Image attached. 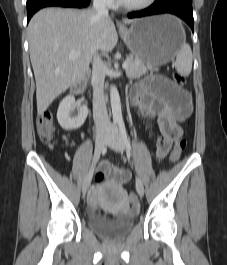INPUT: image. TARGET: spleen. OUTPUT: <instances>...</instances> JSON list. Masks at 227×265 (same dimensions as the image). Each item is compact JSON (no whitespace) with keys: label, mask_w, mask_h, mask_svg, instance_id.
<instances>
[{"label":"spleen","mask_w":227,"mask_h":265,"mask_svg":"<svg viewBox=\"0 0 227 265\" xmlns=\"http://www.w3.org/2000/svg\"><path fill=\"white\" fill-rule=\"evenodd\" d=\"M192 50L190 45L184 44L176 55L175 67L178 73L188 76L192 70Z\"/></svg>","instance_id":"1"}]
</instances>
